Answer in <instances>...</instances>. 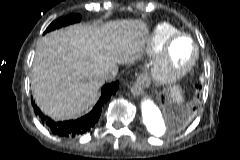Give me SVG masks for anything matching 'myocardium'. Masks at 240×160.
Masks as SVG:
<instances>
[{"instance_id": "1", "label": "myocardium", "mask_w": 240, "mask_h": 160, "mask_svg": "<svg viewBox=\"0 0 240 160\" xmlns=\"http://www.w3.org/2000/svg\"><path fill=\"white\" fill-rule=\"evenodd\" d=\"M180 39L189 40L193 51L188 60L178 66L173 63L171 51L174 43ZM199 54V45L191 35L181 32L175 34L164 44L158 55L154 57L150 71L152 79L161 85L177 81L192 70L199 58Z\"/></svg>"}]
</instances>
